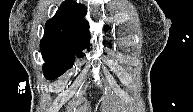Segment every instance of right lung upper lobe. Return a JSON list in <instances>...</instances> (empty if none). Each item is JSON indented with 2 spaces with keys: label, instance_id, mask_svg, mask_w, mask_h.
Returning a JSON list of instances; mask_svg holds the SVG:
<instances>
[{
  "label": "right lung upper lobe",
  "instance_id": "obj_1",
  "mask_svg": "<svg viewBox=\"0 0 193 112\" xmlns=\"http://www.w3.org/2000/svg\"><path fill=\"white\" fill-rule=\"evenodd\" d=\"M85 15L84 5L71 0L63 2L56 15L46 22L42 40H63L89 46V24L83 18Z\"/></svg>",
  "mask_w": 193,
  "mask_h": 112
}]
</instances>
